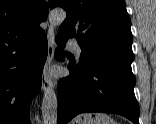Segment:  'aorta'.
Listing matches in <instances>:
<instances>
[{"mask_svg": "<svg viewBox=\"0 0 156 124\" xmlns=\"http://www.w3.org/2000/svg\"><path fill=\"white\" fill-rule=\"evenodd\" d=\"M65 18L66 12L63 9H53L48 15L50 25L52 26H60ZM57 109V96L52 88H47L42 100L43 124H57Z\"/></svg>", "mask_w": 156, "mask_h": 124, "instance_id": "obj_1", "label": "aorta"}]
</instances>
